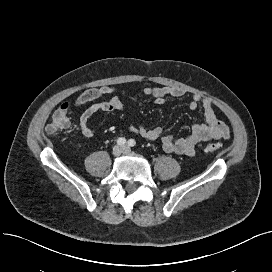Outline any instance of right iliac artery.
<instances>
[{
  "label": "right iliac artery",
  "instance_id": "82829eb1",
  "mask_svg": "<svg viewBox=\"0 0 272 272\" xmlns=\"http://www.w3.org/2000/svg\"><path fill=\"white\" fill-rule=\"evenodd\" d=\"M126 143V139L125 138H123V137H120V138H118V140H117V144L118 145H124Z\"/></svg>",
  "mask_w": 272,
  "mask_h": 272
}]
</instances>
